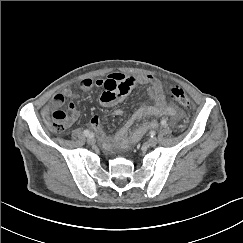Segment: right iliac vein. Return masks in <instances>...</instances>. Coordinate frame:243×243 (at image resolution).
<instances>
[{
    "label": "right iliac vein",
    "instance_id": "obj_1",
    "mask_svg": "<svg viewBox=\"0 0 243 243\" xmlns=\"http://www.w3.org/2000/svg\"><path fill=\"white\" fill-rule=\"evenodd\" d=\"M87 142H88V144L92 145L95 143V139L93 137H89V138H87Z\"/></svg>",
    "mask_w": 243,
    "mask_h": 243
}]
</instances>
